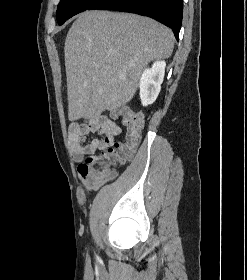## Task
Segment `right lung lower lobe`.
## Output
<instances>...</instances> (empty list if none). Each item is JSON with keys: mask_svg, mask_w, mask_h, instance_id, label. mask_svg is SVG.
Instances as JSON below:
<instances>
[{"mask_svg": "<svg viewBox=\"0 0 247 280\" xmlns=\"http://www.w3.org/2000/svg\"><path fill=\"white\" fill-rule=\"evenodd\" d=\"M182 8V0H99L89 9L131 12L154 18L169 26L178 39Z\"/></svg>", "mask_w": 247, "mask_h": 280, "instance_id": "1", "label": "right lung lower lobe"}]
</instances>
